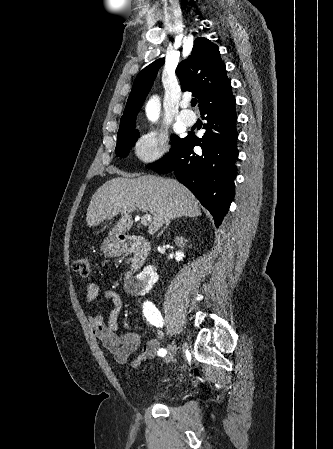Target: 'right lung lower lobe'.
Segmentation results:
<instances>
[{
    "label": "right lung lower lobe",
    "mask_w": 333,
    "mask_h": 449,
    "mask_svg": "<svg viewBox=\"0 0 333 449\" xmlns=\"http://www.w3.org/2000/svg\"><path fill=\"white\" fill-rule=\"evenodd\" d=\"M200 112L207 121L204 136L189 134L181 139L171 156L153 170L161 174L173 172L212 214L219 227L234 198L238 157L237 115L231 89L205 103ZM196 145L202 148L201 154L193 152Z\"/></svg>",
    "instance_id": "98d812e1"
}]
</instances>
